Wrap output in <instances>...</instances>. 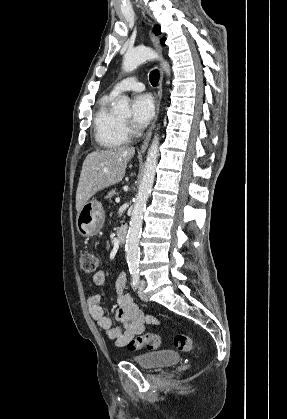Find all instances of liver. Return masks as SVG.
<instances>
[{
  "mask_svg": "<svg viewBox=\"0 0 287 419\" xmlns=\"http://www.w3.org/2000/svg\"><path fill=\"white\" fill-rule=\"evenodd\" d=\"M134 154V148L115 147L96 150L87 155L76 192L77 212L97 192L122 181L127 163Z\"/></svg>",
  "mask_w": 287,
  "mask_h": 419,
  "instance_id": "1",
  "label": "liver"
}]
</instances>
